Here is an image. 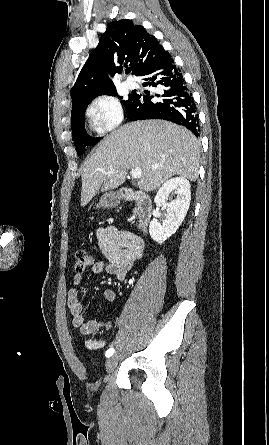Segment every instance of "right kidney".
<instances>
[{"instance_id":"obj_1","label":"right kidney","mask_w":269,"mask_h":445,"mask_svg":"<svg viewBox=\"0 0 269 445\" xmlns=\"http://www.w3.org/2000/svg\"><path fill=\"white\" fill-rule=\"evenodd\" d=\"M173 191L176 193V198L167 202L169 193ZM190 200V183L184 177L172 178L160 187L154 198V203L158 207L167 208V214L163 224L157 220L150 222L149 233L154 241L162 244L178 230L187 214Z\"/></svg>"}]
</instances>
